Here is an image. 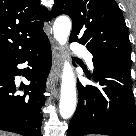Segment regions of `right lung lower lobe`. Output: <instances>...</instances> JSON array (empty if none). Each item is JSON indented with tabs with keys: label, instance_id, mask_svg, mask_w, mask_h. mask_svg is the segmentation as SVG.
Here are the masks:
<instances>
[{
	"label": "right lung lower lobe",
	"instance_id": "obj_1",
	"mask_svg": "<svg viewBox=\"0 0 136 136\" xmlns=\"http://www.w3.org/2000/svg\"><path fill=\"white\" fill-rule=\"evenodd\" d=\"M27 63V69L17 65ZM52 64L51 48L47 37L15 57L0 61V130L24 136H40L44 104L45 79ZM24 75L30 85L20 86L19 93L14 79Z\"/></svg>",
	"mask_w": 136,
	"mask_h": 136
}]
</instances>
